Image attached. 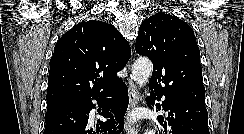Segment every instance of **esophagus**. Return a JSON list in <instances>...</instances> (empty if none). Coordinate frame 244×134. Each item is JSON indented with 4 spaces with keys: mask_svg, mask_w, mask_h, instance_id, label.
<instances>
[{
    "mask_svg": "<svg viewBox=\"0 0 244 134\" xmlns=\"http://www.w3.org/2000/svg\"><path fill=\"white\" fill-rule=\"evenodd\" d=\"M128 93H129V114L131 110L135 109L139 105L140 96L131 76L128 77ZM125 130L128 134H138L139 125L132 123L129 119V115L127 117V122L125 123Z\"/></svg>",
    "mask_w": 244,
    "mask_h": 134,
    "instance_id": "34e87169",
    "label": "esophagus"
}]
</instances>
